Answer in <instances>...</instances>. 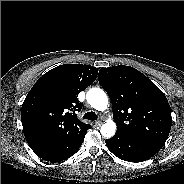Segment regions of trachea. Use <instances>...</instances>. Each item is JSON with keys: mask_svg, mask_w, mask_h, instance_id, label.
Here are the masks:
<instances>
[{"mask_svg": "<svg viewBox=\"0 0 184 184\" xmlns=\"http://www.w3.org/2000/svg\"><path fill=\"white\" fill-rule=\"evenodd\" d=\"M84 119L95 121L97 120V115L94 112H87L83 116Z\"/></svg>", "mask_w": 184, "mask_h": 184, "instance_id": "trachea-1", "label": "trachea"}]
</instances>
